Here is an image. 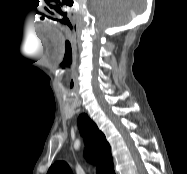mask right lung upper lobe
<instances>
[{"instance_id": "right-lung-upper-lobe-1", "label": "right lung upper lobe", "mask_w": 187, "mask_h": 174, "mask_svg": "<svg viewBox=\"0 0 187 174\" xmlns=\"http://www.w3.org/2000/svg\"><path fill=\"white\" fill-rule=\"evenodd\" d=\"M79 129L85 141V157L91 163H100L105 174H115L110 145L104 134L92 121L89 127L79 126ZM47 174H72V171L66 162L58 161L49 168Z\"/></svg>"}]
</instances>
